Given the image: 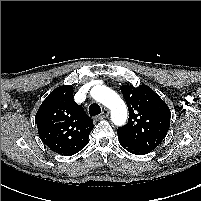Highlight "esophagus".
Returning a JSON list of instances; mask_svg holds the SVG:
<instances>
[{
  "mask_svg": "<svg viewBox=\"0 0 201 201\" xmlns=\"http://www.w3.org/2000/svg\"><path fill=\"white\" fill-rule=\"evenodd\" d=\"M108 116H109V110L105 108V109L102 111V114L98 116V119H104V118H106V117H108Z\"/></svg>",
  "mask_w": 201,
  "mask_h": 201,
  "instance_id": "esophagus-1",
  "label": "esophagus"
}]
</instances>
